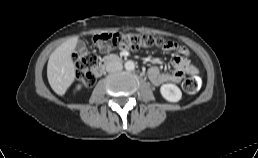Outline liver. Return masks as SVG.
<instances>
[{
    "label": "liver",
    "mask_w": 258,
    "mask_h": 158,
    "mask_svg": "<svg viewBox=\"0 0 258 158\" xmlns=\"http://www.w3.org/2000/svg\"><path fill=\"white\" fill-rule=\"evenodd\" d=\"M78 43V36L72 37L58 46L50 55L47 64V78L53 91L65 94L75 79V66L72 60Z\"/></svg>",
    "instance_id": "obj_1"
}]
</instances>
